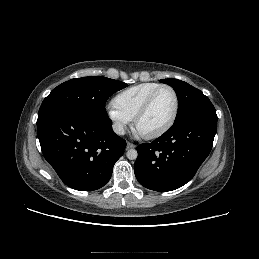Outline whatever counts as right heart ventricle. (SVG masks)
Wrapping results in <instances>:
<instances>
[{"mask_svg":"<svg viewBox=\"0 0 259 259\" xmlns=\"http://www.w3.org/2000/svg\"><path fill=\"white\" fill-rule=\"evenodd\" d=\"M159 85L161 84L157 82H144L128 87L114 97L113 104L131 121L148 95Z\"/></svg>","mask_w":259,"mask_h":259,"instance_id":"e07e8e85","label":"right heart ventricle"}]
</instances>
